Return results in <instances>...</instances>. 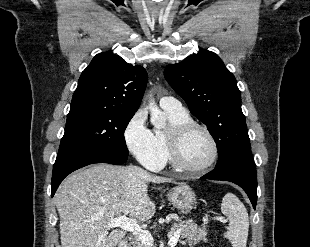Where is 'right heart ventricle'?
Wrapping results in <instances>:
<instances>
[{"instance_id":"obj_1","label":"right heart ventricle","mask_w":310,"mask_h":247,"mask_svg":"<svg viewBox=\"0 0 310 247\" xmlns=\"http://www.w3.org/2000/svg\"><path fill=\"white\" fill-rule=\"evenodd\" d=\"M165 112H166V115L169 119L171 126L175 124H179V123L192 121L188 113L177 114V113H173V112L166 111V110ZM167 133L168 131L160 130V129H156L154 132V137L160 150L163 165L171 161L169 148H168Z\"/></svg>"}]
</instances>
